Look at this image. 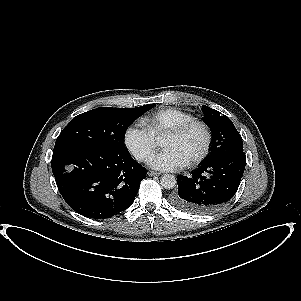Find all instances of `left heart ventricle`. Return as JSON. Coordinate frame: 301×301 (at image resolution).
<instances>
[{
  "label": "left heart ventricle",
  "mask_w": 301,
  "mask_h": 301,
  "mask_svg": "<svg viewBox=\"0 0 301 301\" xmlns=\"http://www.w3.org/2000/svg\"><path fill=\"white\" fill-rule=\"evenodd\" d=\"M203 142L204 135L201 128L194 126L180 136L165 138L162 146L173 150L188 161L201 149Z\"/></svg>",
  "instance_id": "left-heart-ventricle-1"
}]
</instances>
